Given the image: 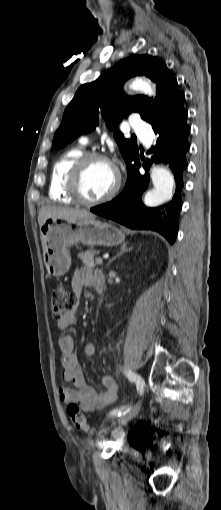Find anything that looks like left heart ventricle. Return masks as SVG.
<instances>
[{
    "mask_svg": "<svg viewBox=\"0 0 221 510\" xmlns=\"http://www.w3.org/2000/svg\"><path fill=\"white\" fill-rule=\"evenodd\" d=\"M115 181L116 174L111 164L94 161L86 167L81 181V189L85 198L97 199L110 192Z\"/></svg>",
    "mask_w": 221,
    "mask_h": 510,
    "instance_id": "obj_1",
    "label": "left heart ventricle"
}]
</instances>
